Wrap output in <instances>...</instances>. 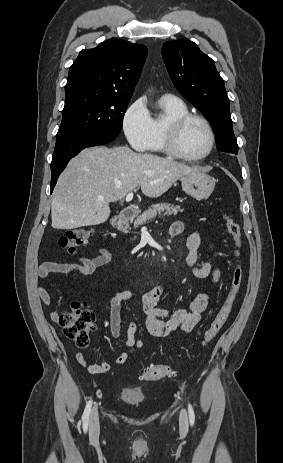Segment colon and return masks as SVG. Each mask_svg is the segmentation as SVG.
Listing matches in <instances>:
<instances>
[{
  "instance_id": "1",
  "label": "colon",
  "mask_w": 283,
  "mask_h": 463,
  "mask_svg": "<svg viewBox=\"0 0 283 463\" xmlns=\"http://www.w3.org/2000/svg\"><path fill=\"white\" fill-rule=\"evenodd\" d=\"M224 225L232 236L237 247V255L242 244V233L238 223L230 216L223 217ZM93 235L90 228H79L66 231L59 239L58 245L61 250L68 254H73L78 247L88 242ZM243 280V270L239 263L234 266L232 279L228 294L219 312L205 331L201 345H208L220 332L228 320L232 311L236 296L241 289ZM58 321L63 327L65 334L73 339L75 343L84 347L89 342V334L95 328L96 319L92 311L84 308L80 303H75L65 312L59 314ZM172 373L168 365L157 364L147 367L143 372L146 381H159Z\"/></svg>"
}]
</instances>
